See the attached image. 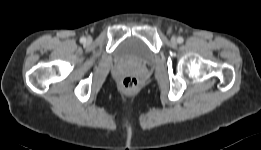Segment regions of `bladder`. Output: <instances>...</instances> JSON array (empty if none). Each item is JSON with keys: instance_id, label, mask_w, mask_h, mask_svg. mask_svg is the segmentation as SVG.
I'll use <instances>...</instances> for the list:
<instances>
[{"instance_id": "31cf9c89", "label": "bladder", "mask_w": 261, "mask_h": 150, "mask_svg": "<svg viewBox=\"0 0 261 150\" xmlns=\"http://www.w3.org/2000/svg\"><path fill=\"white\" fill-rule=\"evenodd\" d=\"M117 60L137 65H150L155 60V53L142 40L129 37L124 39L116 48Z\"/></svg>"}]
</instances>
